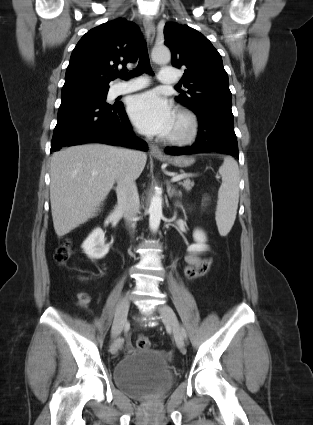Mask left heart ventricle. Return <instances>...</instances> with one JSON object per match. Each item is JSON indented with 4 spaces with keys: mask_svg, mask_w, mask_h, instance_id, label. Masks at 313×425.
Returning <instances> with one entry per match:
<instances>
[{
    "mask_svg": "<svg viewBox=\"0 0 313 425\" xmlns=\"http://www.w3.org/2000/svg\"><path fill=\"white\" fill-rule=\"evenodd\" d=\"M181 128H182V124L175 118V121H174V124H173V127H172L170 133L175 132V131H178Z\"/></svg>",
    "mask_w": 313,
    "mask_h": 425,
    "instance_id": "b2bd125f",
    "label": "left heart ventricle"
}]
</instances>
